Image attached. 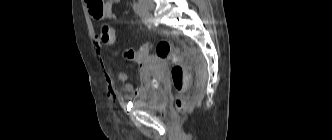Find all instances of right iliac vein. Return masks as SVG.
<instances>
[{
	"instance_id": "63e3f726",
	"label": "right iliac vein",
	"mask_w": 332,
	"mask_h": 140,
	"mask_svg": "<svg viewBox=\"0 0 332 140\" xmlns=\"http://www.w3.org/2000/svg\"><path fill=\"white\" fill-rule=\"evenodd\" d=\"M139 3L143 6L147 13H150L154 10V3L152 0H139Z\"/></svg>"
}]
</instances>
